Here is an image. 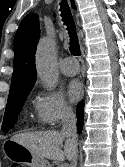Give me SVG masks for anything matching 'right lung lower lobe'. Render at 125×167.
Instances as JSON below:
<instances>
[{
	"instance_id": "1",
	"label": "right lung lower lobe",
	"mask_w": 125,
	"mask_h": 167,
	"mask_svg": "<svg viewBox=\"0 0 125 167\" xmlns=\"http://www.w3.org/2000/svg\"><path fill=\"white\" fill-rule=\"evenodd\" d=\"M83 121H84V101L78 104L77 108V129L81 132L83 128Z\"/></svg>"
}]
</instances>
